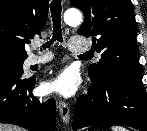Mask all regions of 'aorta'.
I'll return each mask as SVG.
<instances>
[{"label": "aorta", "instance_id": "1", "mask_svg": "<svg viewBox=\"0 0 147 131\" xmlns=\"http://www.w3.org/2000/svg\"><path fill=\"white\" fill-rule=\"evenodd\" d=\"M64 21L69 26H77L82 21V14L76 9H69L64 14Z\"/></svg>", "mask_w": 147, "mask_h": 131}]
</instances>
